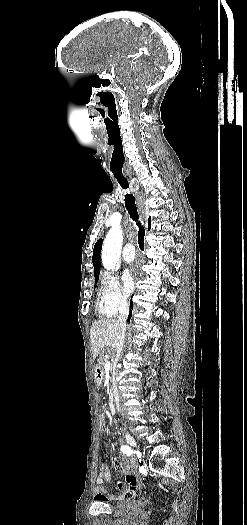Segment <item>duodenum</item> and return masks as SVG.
Listing matches in <instances>:
<instances>
[{
  "label": "duodenum",
  "mask_w": 247,
  "mask_h": 525,
  "mask_svg": "<svg viewBox=\"0 0 247 525\" xmlns=\"http://www.w3.org/2000/svg\"><path fill=\"white\" fill-rule=\"evenodd\" d=\"M95 375L97 378L101 379L102 378V375H103V372H102V369L101 367L99 366H96L95 368ZM109 410L112 414L115 413V402H114V397L113 395H110L109 397Z\"/></svg>",
  "instance_id": "1"
}]
</instances>
